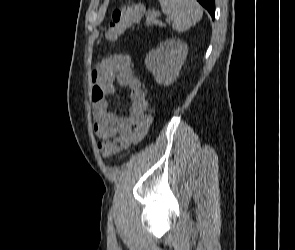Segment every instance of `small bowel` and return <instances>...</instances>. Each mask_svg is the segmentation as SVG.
<instances>
[{
	"label": "small bowel",
	"instance_id": "c3829d8e",
	"mask_svg": "<svg viewBox=\"0 0 295 250\" xmlns=\"http://www.w3.org/2000/svg\"><path fill=\"white\" fill-rule=\"evenodd\" d=\"M93 129L97 137L118 140L123 149L134 145V128L146 117L148 100L140 80L132 71L131 57L127 54L112 55L92 71ZM115 86L127 90L130 97L128 115L119 116L110 108L108 97L115 93Z\"/></svg>",
	"mask_w": 295,
	"mask_h": 250
}]
</instances>
